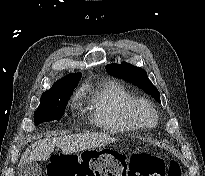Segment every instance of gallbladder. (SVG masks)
<instances>
[{"label":"gallbladder","mask_w":205,"mask_h":176,"mask_svg":"<svg viewBox=\"0 0 205 176\" xmlns=\"http://www.w3.org/2000/svg\"><path fill=\"white\" fill-rule=\"evenodd\" d=\"M42 169L37 163L19 165L18 176H41Z\"/></svg>","instance_id":"1"}]
</instances>
